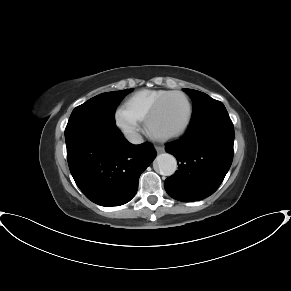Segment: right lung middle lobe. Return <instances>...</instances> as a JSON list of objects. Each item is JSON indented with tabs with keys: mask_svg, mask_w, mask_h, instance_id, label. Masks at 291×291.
Returning a JSON list of instances; mask_svg holds the SVG:
<instances>
[{
	"mask_svg": "<svg viewBox=\"0 0 291 291\" xmlns=\"http://www.w3.org/2000/svg\"><path fill=\"white\" fill-rule=\"evenodd\" d=\"M132 90L126 89L97 95L82 105L77 106L72 111L69 121L82 118L114 123V114L117 105Z\"/></svg>",
	"mask_w": 291,
	"mask_h": 291,
	"instance_id": "obj_1",
	"label": "right lung middle lobe"
}]
</instances>
